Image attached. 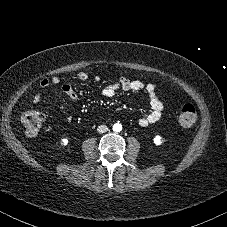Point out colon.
Listing matches in <instances>:
<instances>
[{"instance_id":"colon-1","label":"colon","mask_w":227,"mask_h":227,"mask_svg":"<svg viewBox=\"0 0 227 227\" xmlns=\"http://www.w3.org/2000/svg\"><path fill=\"white\" fill-rule=\"evenodd\" d=\"M45 121V115L38 110H28L21 117V125L30 136L37 135ZM179 124L183 127H191L197 121V110L192 104H184L178 116Z\"/></svg>"}]
</instances>
